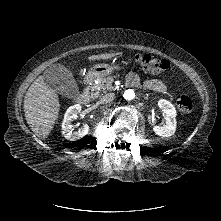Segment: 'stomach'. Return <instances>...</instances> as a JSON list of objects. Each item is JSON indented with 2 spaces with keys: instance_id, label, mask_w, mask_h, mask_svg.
<instances>
[{
  "instance_id": "obj_1",
  "label": "stomach",
  "mask_w": 221,
  "mask_h": 221,
  "mask_svg": "<svg viewBox=\"0 0 221 221\" xmlns=\"http://www.w3.org/2000/svg\"><path fill=\"white\" fill-rule=\"evenodd\" d=\"M121 69L118 65H109V64H98L95 65L90 71L89 76L91 78L103 77L111 74L114 70Z\"/></svg>"
}]
</instances>
